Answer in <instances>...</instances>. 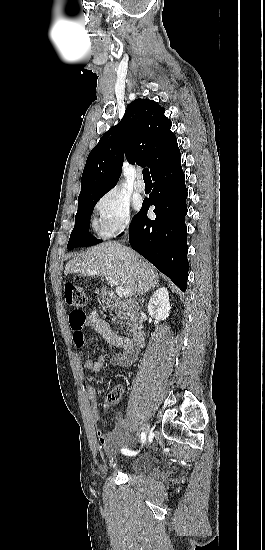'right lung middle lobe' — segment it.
I'll use <instances>...</instances> for the list:
<instances>
[{"label": "right lung middle lobe", "mask_w": 265, "mask_h": 550, "mask_svg": "<svg viewBox=\"0 0 265 550\" xmlns=\"http://www.w3.org/2000/svg\"><path fill=\"white\" fill-rule=\"evenodd\" d=\"M101 197L78 199V211L75 216V226L67 244L68 249L91 246L101 242V240L89 234L90 216L95 204Z\"/></svg>", "instance_id": "right-lung-middle-lobe-1"}]
</instances>
